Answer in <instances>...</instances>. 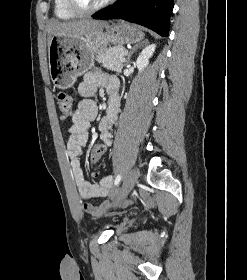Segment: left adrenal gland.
Listing matches in <instances>:
<instances>
[{
    "label": "left adrenal gland",
    "mask_w": 247,
    "mask_h": 280,
    "mask_svg": "<svg viewBox=\"0 0 247 280\" xmlns=\"http://www.w3.org/2000/svg\"><path fill=\"white\" fill-rule=\"evenodd\" d=\"M143 43H147V40L144 41ZM141 45H142V43L136 44V45L132 48V50L129 52V54H128V56H127V60H126L125 65H128L131 56L133 55V53H134L139 47H141Z\"/></svg>",
    "instance_id": "left-adrenal-gland-1"
}]
</instances>
